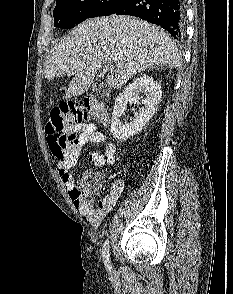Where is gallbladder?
<instances>
[{"instance_id":"obj_1","label":"gallbladder","mask_w":233,"mask_h":294,"mask_svg":"<svg viewBox=\"0 0 233 294\" xmlns=\"http://www.w3.org/2000/svg\"><path fill=\"white\" fill-rule=\"evenodd\" d=\"M99 95L101 97H105L107 95V90L106 89H103V88H100L99 89Z\"/></svg>"}]
</instances>
